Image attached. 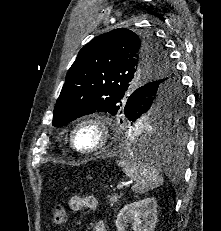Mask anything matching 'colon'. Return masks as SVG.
Wrapping results in <instances>:
<instances>
[{
	"label": "colon",
	"mask_w": 221,
	"mask_h": 231,
	"mask_svg": "<svg viewBox=\"0 0 221 231\" xmlns=\"http://www.w3.org/2000/svg\"><path fill=\"white\" fill-rule=\"evenodd\" d=\"M66 221V211L62 204H56L52 213L51 223L53 226H62Z\"/></svg>",
	"instance_id": "5ec220e1"
}]
</instances>
